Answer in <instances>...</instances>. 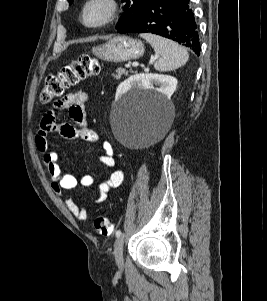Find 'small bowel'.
<instances>
[{"instance_id": "obj_1", "label": "small bowel", "mask_w": 267, "mask_h": 301, "mask_svg": "<svg viewBox=\"0 0 267 301\" xmlns=\"http://www.w3.org/2000/svg\"><path fill=\"white\" fill-rule=\"evenodd\" d=\"M88 100V94L83 90H77L65 95L57 101L53 108L49 109L42 117L40 128L36 136V146L42 155L47 174L51 181V187L57 195L64 191L76 188L77 186L89 187L93 184V177L89 174H83L75 177L72 174L62 173L59 166L58 154L50 146L48 136L57 134L65 139L81 138L87 142L96 143L99 140L97 133L90 128L86 113L85 104ZM67 110L71 123H59L58 112ZM103 151L99 155L100 162L107 168L114 169L110 176L98 187V196L96 203L106 200L108 192L119 187L124 180V171L116 166L112 145L105 141L102 144ZM69 211L81 221L88 219V212L80 207L71 198L65 200Z\"/></svg>"}]
</instances>
